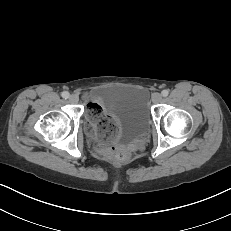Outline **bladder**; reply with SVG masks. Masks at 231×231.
<instances>
[{
    "label": "bladder",
    "mask_w": 231,
    "mask_h": 231,
    "mask_svg": "<svg viewBox=\"0 0 231 231\" xmlns=\"http://www.w3.org/2000/svg\"><path fill=\"white\" fill-rule=\"evenodd\" d=\"M94 100L103 111L117 119V131L114 138L122 143L145 137L150 129L151 113L149 94L138 86H125L107 89L94 94ZM96 121H93V125Z\"/></svg>",
    "instance_id": "1"
}]
</instances>
